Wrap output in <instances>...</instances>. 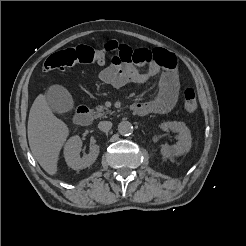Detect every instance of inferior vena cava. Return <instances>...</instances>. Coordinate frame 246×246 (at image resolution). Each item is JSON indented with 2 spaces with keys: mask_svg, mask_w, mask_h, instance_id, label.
Masks as SVG:
<instances>
[{
  "mask_svg": "<svg viewBox=\"0 0 246 246\" xmlns=\"http://www.w3.org/2000/svg\"><path fill=\"white\" fill-rule=\"evenodd\" d=\"M112 127V123L110 121H101L98 124V128L103 132H108Z\"/></svg>",
  "mask_w": 246,
  "mask_h": 246,
  "instance_id": "602c4592",
  "label": "inferior vena cava"
}]
</instances>
